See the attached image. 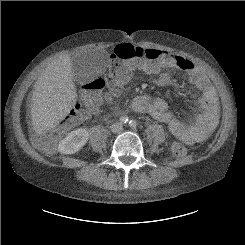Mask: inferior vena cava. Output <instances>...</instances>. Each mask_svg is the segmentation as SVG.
I'll list each match as a JSON object with an SVG mask.
<instances>
[{
	"label": "inferior vena cava",
	"mask_w": 245,
	"mask_h": 245,
	"mask_svg": "<svg viewBox=\"0 0 245 245\" xmlns=\"http://www.w3.org/2000/svg\"><path fill=\"white\" fill-rule=\"evenodd\" d=\"M123 130V125L121 123H114L111 126V131L113 133H121Z\"/></svg>",
	"instance_id": "1"
}]
</instances>
